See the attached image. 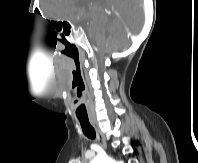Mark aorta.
Returning <instances> with one entry per match:
<instances>
[{
    "instance_id": "762f6f07",
    "label": "aorta",
    "mask_w": 198,
    "mask_h": 163,
    "mask_svg": "<svg viewBox=\"0 0 198 163\" xmlns=\"http://www.w3.org/2000/svg\"><path fill=\"white\" fill-rule=\"evenodd\" d=\"M90 163H115V162L106 155H98L93 160H91Z\"/></svg>"
}]
</instances>
